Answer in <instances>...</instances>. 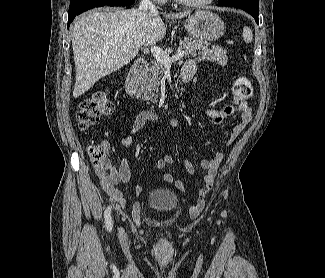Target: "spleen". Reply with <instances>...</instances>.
Masks as SVG:
<instances>
[{
	"label": "spleen",
	"instance_id": "1",
	"mask_svg": "<svg viewBox=\"0 0 325 278\" xmlns=\"http://www.w3.org/2000/svg\"><path fill=\"white\" fill-rule=\"evenodd\" d=\"M243 38L246 43H250L253 40V34L249 27L243 28Z\"/></svg>",
	"mask_w": 325,
	"mask_h": 278
}]
</instances>
